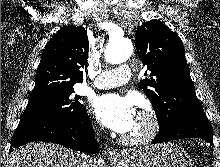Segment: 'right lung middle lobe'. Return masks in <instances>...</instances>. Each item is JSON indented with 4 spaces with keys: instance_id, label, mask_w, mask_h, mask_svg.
Listing matches in <instances>:
<instances>
[{
    "instance_id": "obj_1",
    "label": "right lung middle lobe",
    "mask_w": 220,
    "mask_h": 167,
    "mask_svg": "<svg viewBox=\"0 0 220 167\" xmlns=\"http://www.w3.org/2000/svg\"><path fill=\"white\" fill-rule=\"evenodd\" d=\"M74 88L31 98L20 118V122L41 120L44 118L70 119L80 114L85 107L79 103L80 96H73Z\"/></svg>"
}]
</instances>
